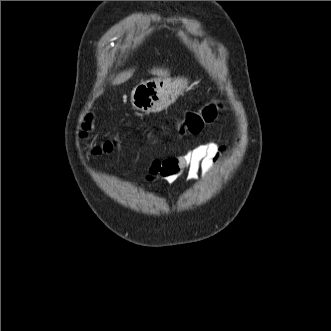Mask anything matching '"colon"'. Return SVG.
<instances>
[{"label": "colon", "instance_id": "1", "mask_svg": "<svg viewBox=\"0 0 331 331\" xmlns=\"http://www.w3.org/2000/svg\"><path fill=\"white\" fill-rule=\"evenodd\" d=\"M219 108L220 105L210 103L203 106L199 111L188 112L183 121L181 130L190 134H198L202 130L204 124L210 123L215 119ZM114 146L115 141L108 140L102 145L97 146L94 151L96 153H100L102 151L108 152L111 151Z\"/></svg>", "mask_w": 331, "mask_h": 331}]
</instances>
